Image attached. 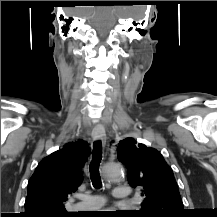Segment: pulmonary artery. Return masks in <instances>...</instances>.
<instances>
[{"label": "pulmonary artery", "instance_id": "e3ab8cb5", "mask_svg": "<svg viewBox=\"0 0 217 217\" xmlns=\"http://www.w3.org/2000/svg\"><path fill=\"white\" fill-rule=\"evenodd\" d=\"M113 197L116 199H128L129 188L126 186H117L113 190ZM81 202L75 205L76 209L94 210L99 209L105 204V199L101 195L85 194L81 197Z\"/></svg>", "mask_w": 217, "mask_h": 217}]
</instances>
